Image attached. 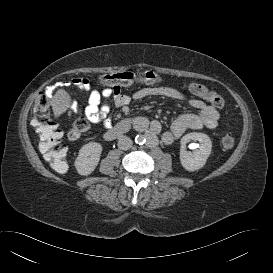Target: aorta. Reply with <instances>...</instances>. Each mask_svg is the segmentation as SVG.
Returning <instances> with one entry per match:
<instances>
[{"instance_id": "1", "label": "aorta", "mask_w": 273, "mask_h": 273, "mask_svg": "<svg viewBox=\"0 0 273 273\" xmlns=\"http://www.w3.org/2000/svg\"><path fill=\"white\" fill-rule=\"evenodd\" d=\"M135 142H136L137 144H139V145H143V144L146 142V139H145V137L142 136V135H137V136L135 137Z\"/></svg>"}]
</instances>
